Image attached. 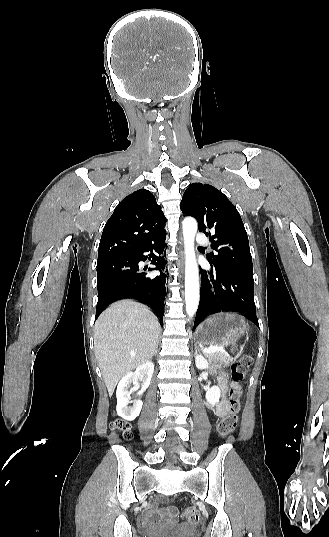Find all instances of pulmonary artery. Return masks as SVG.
Returning <instances> with one entry per match:
<instances>
[{"label":"pulmonary artery","instance_id":"pulmonary-artery-1","mask_svg":"<svg viewBox=\"0 0 329 537\" xmlns=\"http://www.w3.org/2000/svg\"><path fill=\"white\" fill-rule=\"evenodd\" d=\"M196 242L199 244V245H206L208 243V239L205 235H203L202 233H198L196 235Z\"/></svg>","mask_w":329,"mask_h":537}]
</instances>
